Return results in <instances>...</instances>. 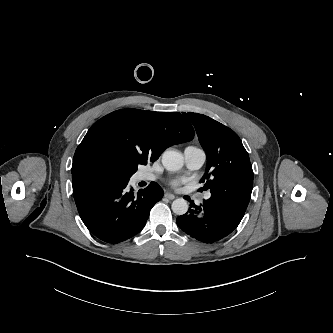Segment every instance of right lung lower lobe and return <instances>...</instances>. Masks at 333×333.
Segmentation results:
<instances>
[{
	"label": "right lung lower lobe",
	"mask_w": 333,
	"mask_h": 333,
	"mask_svg": "<svg viewBox=\"0 0 333 333\" xmlns=\"http://www.w3.org/2000/svg\"><path fill=\"white\" fill-rule=\"evenodd\" d=\"M128 181L88 173L73 179V196L86 227L99 239L119 243L140 232L151 208L163 197L157 184L138 191Z\"/></svg>",
	"instance_id": "1"
}]
</instances>
